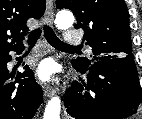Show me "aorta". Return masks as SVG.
Segmentation results:
<instances>
[{
  "label": "aorta",
  "instance_id": "aorta-1",
  "mask_svg": "<svg viewBox=\"0 0 142 119\" xmlns=\"http://www.w3.org/2000/svg\"><path fill=\"white\" fill-rule=\"evenodd\" d=\"M74 16L70 11L62 10L55 18V26L58 29L66 30L73 25ZM61 100L59 97H53L46 105L43 119H60Z\"/></svg>",
  "mask_w": 142,
  "mask_h": 119
}]
</instances>
